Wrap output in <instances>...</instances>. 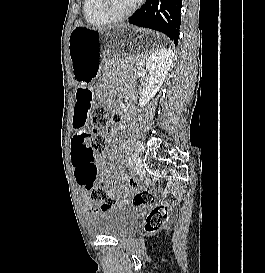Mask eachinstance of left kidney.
I'll list each match as a JSON object with an SVG mask.
<instances>
[{
  "mask_svg": "<svg viewBox=\"0 0 265 273\" xmlns=\"http://www.w3.org/2000/svg\"><path fill=\"white\" fill-rule=\"evenodd\" d=\"M173 57L174 53L171 49L161 48L147 59L146 69L149 76L139 99L140 106H145L160 89L171 67Z\"/></svg>",
  "mask_w": 265,
  "mask_h": 273,
  "instance_id": "5707ae66",
  "label": "left kidney"
}]
</instances>
